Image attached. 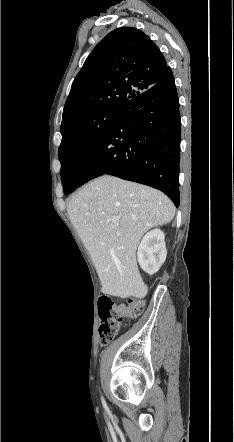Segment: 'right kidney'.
I'll use <instances>...</instances> for the list:
<instances>
[{
  "label": "right kidney",
  "mask_w": 234,
  "mask_h": 442,
  "mask_svg": "<svg viewBox=\"0 0 234 442\" xmlns=\"http://www.w3.org/2000/svg\"><path fill=\"white\" fill-rule=\"evenodd\" d=\"M167 255L165 235L160 229H154L142 238L137 252L138 262L146 273H156Z\"/></svg>",
  "instance_id": "obj_1"
}]
</instances>
